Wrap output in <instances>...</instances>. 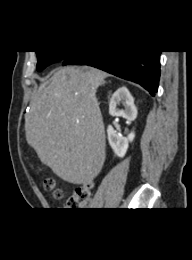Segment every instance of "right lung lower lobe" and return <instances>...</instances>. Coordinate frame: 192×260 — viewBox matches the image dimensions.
I'll return each instance as SVG.
<instances>
[{"label":"right lung lower lobe","instance_id":"right-lung-lower-lobe-1","mask_svg":"<svg viewBox=\"0 0 192 260\" xmlns=\"http://www.w3.org/2000/svg\"><path fill=\"white\" fill-rule=\"evenodd\" d=\"M161 51H79L70 53L62 65H89L140 84L151 95L158 90Z\"/></svg>","mask_w":192,"mask_h":260}]
</instances>
